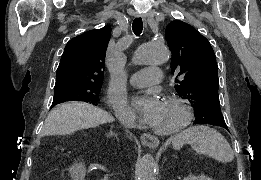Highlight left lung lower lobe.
Returning <instances> with one entry per match:
<instances>
[{
    "label": "left lung lower lobe",
    "instance_id": "left-lung-lower-lobe-1",
    "mask_svg": "<svg viewBox=\"0 0 261 180\" xmlns=\"http://www.w3.org/2000/svg\"><path fill=\"white\" fill-rule=\"evenodd\" d=\"M195 123V122H194ZM196 124V123H195ZM220 127H223V128H225V129H227L228 130V128H227V126L226 125H223V126H220Z\"/></svg>",
    "mask_w": 261,
    "mask_h": 180
}]
</instances>
